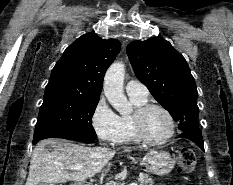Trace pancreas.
I'll return each instance as SVG.
<instances>
[{"label":"pancreas","instance_id":"1","mask_svg":"<svg viewBox=\"0 0 233 185\" xmlns=\"http://www.w3.org/2000/svg\"><path fill=\"white\" fill-rule=\"evenodd\" d=\"M138 182H139V185H154V180L152 178H150L149 175H147V174H141L138 178ZM111 183H115V185H119L115 181H111L105 185H109Z\"/></svg>","mask_w":233,"mask_h":185}]
</instances>
